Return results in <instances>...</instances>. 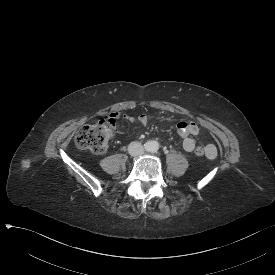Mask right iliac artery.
<instances>
[{
	"label": "right iliac artery",
	"instance_id": "1",
	"mask_svg": "<svg viewBox=\"0 0 275 275\" xmlns=\"http://www.w3.org/2000/svg\"><path fill=\"white\" fill-rule=\"evenodd\" d=\"M145 148H146V149H150L149 144H146V145H145Z\"/></svg>",
	"mask_w": 275,
	"mask_h": 275
}]
</instances>
